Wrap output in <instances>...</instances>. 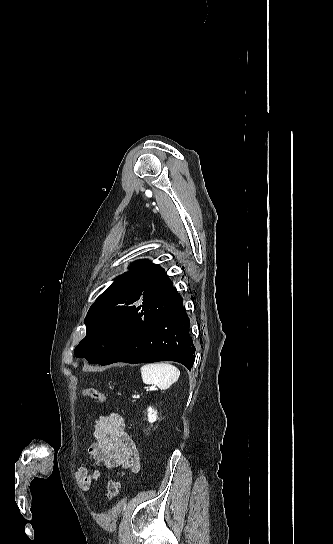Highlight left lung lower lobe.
Wrapping results in <instances>:
<instances>
[{"mask_svg":"<svg viewBox=\"0 0 333 544\" xmlns=\"http://www.w3.org/2000/svg\"><path fill=\"white\" fill-rule=\"evenodd\" d=\"M94 339H98L96 333ZM124 339L131 342L125 345L121 355L108 350L100 351L97 364H136L170 360L191 369L195 361L196 348L190 336V320L182 298L156 320L135 324Z\"/></svg>","mask_w":333,"mask_h":544,"instance_id":"0a47b994","label":"left lung lower lobe"}]
</instances>
